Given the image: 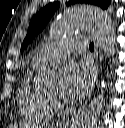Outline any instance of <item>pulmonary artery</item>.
<instances>
[{"instance_id": "1", "label": "pulmonary artery", "mask_w": 125, "mask_h": 128, "mask_svg": "<svg viewBox=\"0 0 125 128\" xmlns=\"http://www.w3.org/2000/svg\"><path fill=\"white\" fill-rule=\"evenodd\" d=\"M85 46L82 36L62 39L37 50L33 56L32 62L36 65L57 62L69 57L73 51L83 49Z\"/></svg>"}]
</instances>
